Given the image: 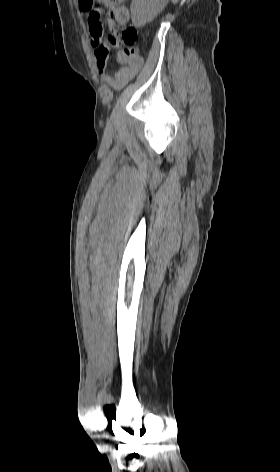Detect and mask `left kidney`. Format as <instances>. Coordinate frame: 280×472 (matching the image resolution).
<instances>
[{"mask_svg": "<svg viewBox=\"0 0 280 472\" xmlns=\"http://www.w3.org/2000/svg\"><path fill=\"white\" fill-rule=\"evenodd\" d=\"M163 8V0H132L131 18L136 27L151 22Z\"/></svg>", "mask_w": 280, "mask_h": 472, "instance_id": "1", "label": "left kidney"}]
</instances>
